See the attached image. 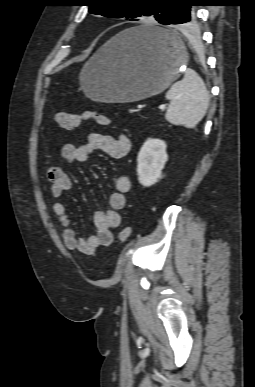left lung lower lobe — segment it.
Here are the masks:
<instances>
[{
	"mask_svg": "<svg viewBox=\"0 0 255 387\" xmlns=\"http://www.w3.org/2000/svg\"><path fill=\"white\" fill-rule=\"evenodd\" d=\"M196 0H185L178 2L172 11L170 19L164 25H177L181 24L185 27H192L195 22V14L192 6H198ZM140 35L151 41H162L165 36L162 32L157 30H147Z\"/></svg>",
	"mask_w": 255,
	"mask_h": 387,
	"instance_id": "1",
	"label": "left lung lower lobe"
}]
</instances>
